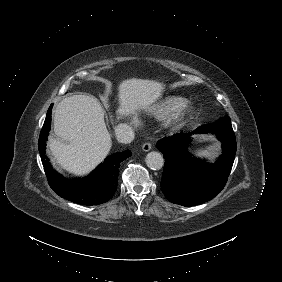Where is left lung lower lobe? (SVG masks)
I'll list each match as a JSON object with an SVG mask.
<instances>
[{
	"instance_id": "left-lung-lower-lobe-1",
	"label": "left lung lower lobe",
	"mask_w": 282,
	"mask_h": 282,
	"mask_svg": "<svg viewBox=\"0 0 282 282\" xmlns=\"http://www.w3.org/2000/svg\"><path fill=\"white\" fill-rule=\"evenodd\" d=\"M194 133H214L221 141L223 153L214 164L195 159L188 152ZM157 148L165 159L162 192L170 202L189 207L211 200L224 188L236 154V139L229 116H224L192 133L165 137L157 142Z\"/></svg>"
}]
</instances>
